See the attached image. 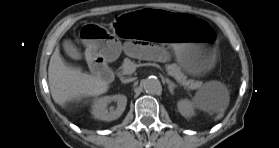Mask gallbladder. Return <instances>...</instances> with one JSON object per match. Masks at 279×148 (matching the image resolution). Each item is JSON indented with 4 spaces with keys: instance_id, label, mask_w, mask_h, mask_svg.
I'll return each instance as SVG.
<instances>
[{
    "instance_id": "obj_1",
    "label": "gallbladder",
    "mask_w": 279,
    "mask_h": 148,
    "mask_svg": "<svg viewBox=\"0 0 279 148\" xmlns=\"http://www.w3.org/2000/svg\"><path fill=\"white\" fill-rule=\"evenodd\" d=\"M63 48L65 53L75 60L82 59V54L80 50L77 48V46L69 39L64 40L63 42Z\"/></svg>"
}]
</instances>
